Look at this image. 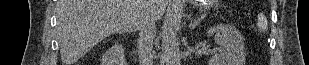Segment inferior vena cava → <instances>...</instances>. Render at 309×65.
Here are the masks:
<instances>
[{"label":"inferior vena cava","mask_w":309,"mask_h":65,"mask_svg":"<svg viewBox=\"0 0 309 65\" xmlns=\"http://www.w3.org/2000/svg\"><path fill=\"white\" fill-rule=\"evenodd\" d=\"M155 20L147 17L139 28L138 54L140 65H153V43L155 38Z\"/></svg>","instance_id":"1"}]
</instances>
